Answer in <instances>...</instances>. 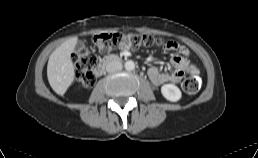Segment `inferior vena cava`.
Segmentation results:
<instances>
[{
    "instance_id": "1",
    "label": "inferior vena cava",
    "mask_w": 258,
    "mask_h": 158,
    "mask_svg": "<svg viewBox=\"0 0 258 158\" xmlns=\"http://www.w3.org/2000/svg\"><path fill=\"white\" fill-rule=\"evenodd\" d=\"M122 69V63L120 61L109 62L106 66L107 72H115Z\"/></svg>"
}]
</instances>
